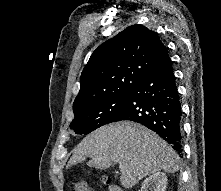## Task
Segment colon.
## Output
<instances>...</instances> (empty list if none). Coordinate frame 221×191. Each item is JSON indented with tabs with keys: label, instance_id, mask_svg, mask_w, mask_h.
<instances>
[{
	"label": "colon",
	"instance_id": "colon-1",
	"mask_svg": "<svg viewBox=\"0 0 221 191\" xmlns=\"http://www.w3.org/2000/svg\"><path fill=\"white\" fill-rule=\"evenodd\" d=\"M106 177L103 178V182H107ZM71 191H93L84 180L74 181L70 184Z\"/></svg>",
	"mask_w": 221,
	"mask_h": 191
}]
</instances>
